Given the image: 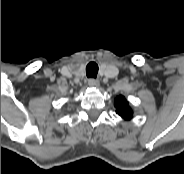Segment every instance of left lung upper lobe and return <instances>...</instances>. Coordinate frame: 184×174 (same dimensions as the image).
I'll return each mask as SVG.
<instances>
[{
	"instance_id": "obj_1",
	"label": "left lung upper lobe",
	"mask_w": 184,
	"mask_h": 174,
	"mask_svg": "<svg viewBox=\"0 0 184 174\" xmlns=\"http://www.w3.org/2000/svg\"><path fill=\"white\" fill-rule=\"evenodd\" d=\"M114 106L116 113L121 116L124 120H131L133 117V110L129 106V102L122 95H119L114 100Z\"/></svg>"
}]
</instances>
